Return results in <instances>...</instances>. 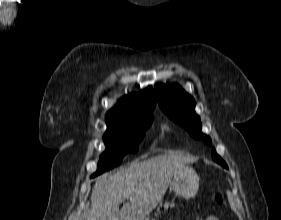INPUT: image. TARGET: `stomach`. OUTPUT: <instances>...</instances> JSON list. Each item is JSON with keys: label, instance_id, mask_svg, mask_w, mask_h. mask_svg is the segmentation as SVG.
<instances>
[{"label": "stomach", "instance_id": "0dacf381", "mask_svg": "<svg viewBox=\"0 0 281 220\" xmlns=\"http://www.w3.org/2000/svg\"><path fill=\"white\" fill-rule=\"evenodd\" d=\"M171 187L177 195L193 197L199 189V177L194 169L185 167L173 175Z\"/></svg>", "mask_w": 281, "mask_h": 220}]
</instances>
